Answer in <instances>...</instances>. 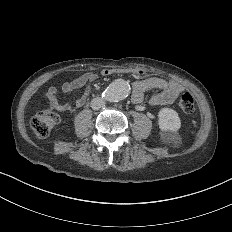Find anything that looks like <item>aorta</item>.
Returning a JSON list of instances; mask_svg holds the SVG:
<instances>
[{"mask_svg":"<svg viewBox=\"0 0 232 232\" xmlns=\"http://www.w3.org/2000/svg\"><path fill=\"white\" fill-rule=\"evenodd\" d=\"M130 93V85L123 79L114 80L104 92V97L111 102L125 99Z\"/></svg>","mask_w":232,"mask_h":232,"instance_id":"obj_1","label":"aorta"}]
</instances>
